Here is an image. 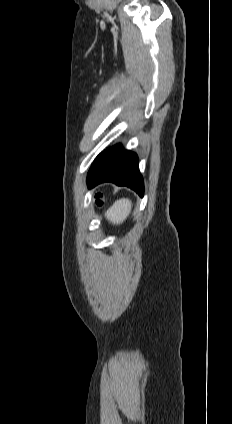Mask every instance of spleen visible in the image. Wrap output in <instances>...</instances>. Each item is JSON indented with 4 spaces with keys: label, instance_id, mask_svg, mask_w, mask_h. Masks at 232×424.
<instances>
[{
    "label": "spleen",
    "instance_id": "spleen-1",
    "mask_svg": "<svg viewBox=\"0 0 232 424\" xmlns=\"http://www.w3.org/2000/svg\"><path fill=\"white\" fill-rule=\"evenodd\" d=\"M132 203L129 199H119L107 210L105 217L113 224L122 223L130 214Z\"/></svg>",
    "mask_w": 232,
    "mask_h": 424
}]
</instances>
